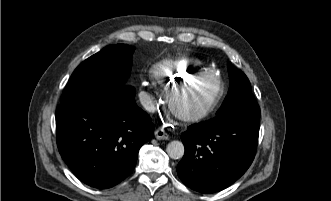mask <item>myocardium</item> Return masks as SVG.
<instances>
[{
  "instance_id": "f54148a6",
  "label": "myocardium",
  "mask_w": 331,
  "mask_h": 201,
  "mask_svg": "<svg viewBox=\"0 0 331 201\" xmlns=\"http://www.w3.org/2000/svg\"><path fill=\"white\" fill-rule=\"evenodd\" d=\"M205 78H213L216 83L215 91L212 93V95L200 107L195 110L184 112L176 108L173 102V93L175 92V90L180 87L187 86L195 81L203 80ZM223 93L224 84L218 76H216L212 72L209 74L198 73L189 78H185L183 81H179L176 84L170 85L166 90L165 99L168 108L177 118L182 121L193 122L209 115L219 103L220 99L223 96Z\"/></svg>"
}]
</instances>
